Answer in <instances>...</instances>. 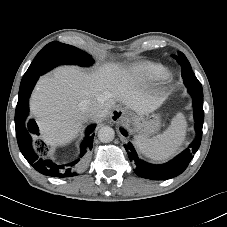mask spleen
Wrapping results in <instances>:
<instances>
[{
  "mask_svg": "<svg viewBox=\"0 0 227 227\" xmlns=\"http://www.w3.org/2000/svg\"><path fill=\"white\" fill-rule=\"evenodd\" d=\"M187 122L182 113L173 117L170 126L162 134L153 138L135 137L138 150L146 157L163 161L176 153L186 136Z\"/></svg>",
  "mask_w": 227,
  "mask_h": 227,
  "instance_id": "spleen-1",
  "label": "spleen"
}]
</instances>
